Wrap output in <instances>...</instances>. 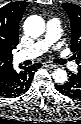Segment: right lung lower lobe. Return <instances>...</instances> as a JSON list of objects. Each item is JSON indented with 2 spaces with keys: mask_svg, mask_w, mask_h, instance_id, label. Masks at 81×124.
<instances>
[{
  "mask_svg": "<svg viewBox=\"0 0 81 124\" xmlns=\"http://www.w3.org/2000/svg\"><path fill=\"white\" fill-rule=\"evenodd\" d=\"M40 63L32 66H20V71L13 67L0 74V96L6 98H15L24 94L31 86L33 76Z\"/></svg>",
  "mask_w": 81,
  "mask_h": 124,
  "instance_id": "1",
  "label": "right lung lower lobe"
}]
</instances>
